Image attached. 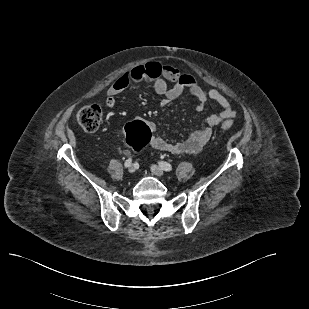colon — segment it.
Masks as SVG:
<instances>
[{"instance_id": "1", "label": "colon", "mask_w": 309, "mask_h": 309, "mask_svg": "<svg viewBox=\"0 0 309 309\" xmlns=\"http://www.w3.org/2000/svg\"><path fill=\"white\" fill-rule=\"evenodd\" d=\"M102 119V110L98 105H87L82 107L78 114L77 120L80 126L88 132L98 129ZM233 126L231 121H223L221 128L229 130ZM126 141L133 151L143 149L151 139V131L145 122L134 120L125 126Z\"/></svg>"}]
</instances>
